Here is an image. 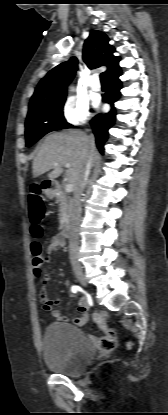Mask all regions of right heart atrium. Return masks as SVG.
<instances>
[{
	"mask_svg": "<svg viewBox=\"0 0 168 415\" xmlns=\"http://www.w3.org/2000/svg\"><path fill=\"white\" fill-rule=\"evenodd\" d=\"M63 121L70 126H81L90 119L88 104L81 100L70 99L62 107Z\"/></svg>",
	"mask_w": 168,
	"mask_h": 415,
	"instance_id": "1",
	"label": "right heart atrium"
}]
</instances>
